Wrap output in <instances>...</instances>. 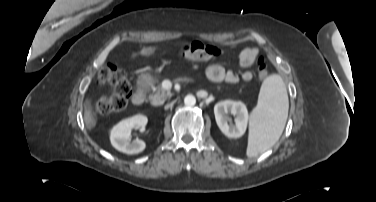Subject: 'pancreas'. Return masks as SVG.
<instances>
[{
  "mask_svg": "<svg viewBox=\"0 0 376 202\" xmlns=\"http://www.w3.org/2000/svg\"><path fill=\"white\" fill-rule=\"evenodd\" d=\"M157 81L151 80L150 84L154 85ZM170 96V92L158 86L154 88V93L149 96V100L153 105H161L165 102V100Z\"/></svg>",
  "mask_w": 376,
  "mask_h": 202,
  "instance_id": "obj_1",
  "label": "pancreas"
}]
</instances>
